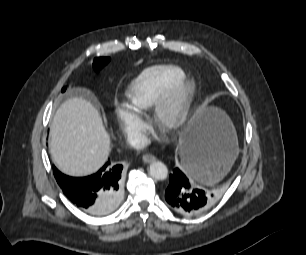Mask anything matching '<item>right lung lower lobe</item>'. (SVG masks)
Wrapping results in <instances>:
<instances>
[{"instance_id": "1", "label": "right lung lower lobe", "mask_w": 306, "mask_h": 255, "mask_svg": "<svg viewBox=\"0 0 306 255\" xmlns=\"http://www.w3.org/2000/svg\"><path fill=\"white\" fill-rule=\"evenodd\" d=\"M123 166L107 162L87 177H69L53 166L54 176L68 199L81 210L95 216L106 215L118 205L122 193Z\"/></svg>"}]
</instances>
